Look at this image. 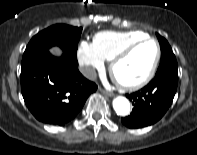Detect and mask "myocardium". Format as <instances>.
Segmentation results:
<instances>
[{"label":"myocardium","instance_id":"1","mask_svg":"<svg viewBox=\"0 0 197 155\" xmlns=\"http://www.w3.org/2000/svg\"><path fill=\"white\" fill-rule=\"evenodd\" d=\"M146 42H152L156 46V56H155L153 64L150 67L148 73L145 75V77L143 79H141L140 81L134 82V83H124V82L118 80L115 75V68L118 65V63L121 62L126 57H128L132 53V51H134L138 46H140L141 44L146 43ZM160 58H161V47H160L159 42L153 37L142 38L138 41H135V42L125 46L112 58L110 66H109L110 75H111L112 79L114 80V82L121 89L126 90V91L139 90V89L143 88L144 86H146L154 77V75L157 71L159 62H160Z\"/></svg>","mask_w":197,"mask_h":155}]
</instances>
